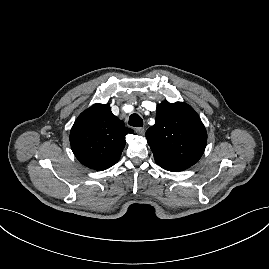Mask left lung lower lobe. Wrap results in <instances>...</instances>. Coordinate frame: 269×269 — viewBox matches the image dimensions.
Segmentation results:
<instances>
[{
    "label": "left lung lower lobe",
    "instance_id": "obj_1",
    "mask_svg": "<svg viewBox=\"0 0 269 269\" xmlns=\"http://www.w3.org/2000/svg\"><path fill=\"white\" fill-rule=\"evenodd\" d=\"M187 168H189V167L180 166V167H169V168H164V169L168 170V171H172V172H178V171L185 170Z\"/></svg>",
    "mask_w": 269,
    "mask_h": 269
}]
</instances>
